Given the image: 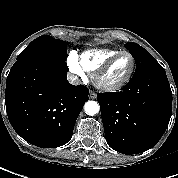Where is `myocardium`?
<instances>
[{"label": "myocardium", "instance_id": "myocardium-1", "mask_svg": "<svg viewBox=\"0 0 178 178\" xmlns=\"http://www.w3.org/2000/svg\"><path fill=\"white\" fill-rule=\"evenodd\" d=\"M122 55H128L132 60V67L129 73L121 81L114 84H105L101 81V77L108 70V68ZM136 69V59L130 51H119L118 53L107 59L93 74V82L95 86L104 92H115L125 87L132 79Z\"/></svg>", "mask_w": 178, "mask_h": 178}]
</instances>
